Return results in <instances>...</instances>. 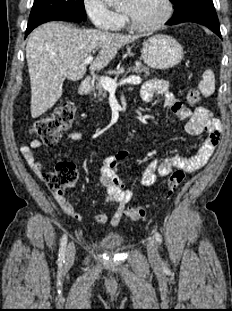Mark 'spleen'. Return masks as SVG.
Wrapping results in <instances>:
<instances>
[{"label":"spleen","instance_id":"spleen-1","mask_svg":"<svg viewBox=\"0 0 232 311\" xmlns=\"http://www.w3.org/2000/svg\"><path fill=\"white\" fill-rule=\"evenodd\" d=\"M199 90L203 96L207 97L215 92V75L211 69H207L199 83Z\"/></svg>","mask_w":232,"mask_h":311}]
</instances>
